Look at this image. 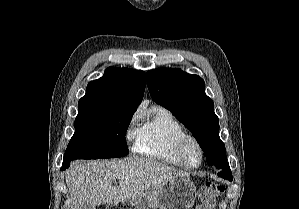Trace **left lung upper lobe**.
Masks as SVG:
<instances>
[{
  "mask_svg": "<svg viewBox=\"0 0 299 209\" xmlns=\"http://www.w3.org/2000/svg\"><path fill=\"white\" fill-rule=\"evenodd\" d=\"M147 85L152 99L192 132L208 165L229 167L225 145L219 137V119L213 101L205 94L204 80L181 69L159 68L147 72Z\"/></svg>",
  "mask_w": 299,
  "mask_h": 209,
  "instance_id": "obj_1",
  "label": "left lung upper lobe"
}]
</instances>
